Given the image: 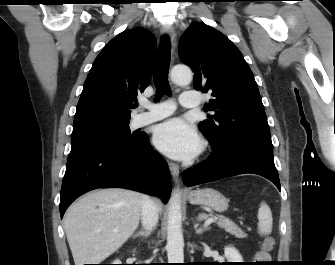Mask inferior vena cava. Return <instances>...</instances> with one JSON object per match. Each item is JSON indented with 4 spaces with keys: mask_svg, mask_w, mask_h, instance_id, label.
I'll list each match as a JSON object with an SVG mask.
<instances>
[{
    "mask_svg": "<svg viewBox=\"0 0 335 265\" xmlns=\"http://www.w3.org/2000/svg\"><path fill=\"white\" fill-rule=\"evenodd\" d=\"M141 221L146 230H152L158 223V208L148 196H143Z\"/></svg>",
    "mask_w": 335,
    "mask_h": 265,
    "instance_id": "602c4592",
    "label": "inferior vena cava"
}]
</instances>
